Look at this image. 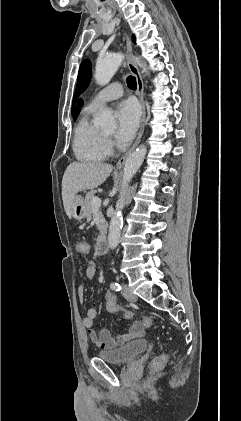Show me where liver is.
<instances>
[{
	"label": "liver",
	"mask_w": 241,
	"mask_h": 421,
	"mask_svg": "<svg viewBox=\"0 0 241 421\" xmlns=\"http://www.w3.org/2000/svg\"><path fill=\"white\" fill-rule=\"evenodd\" d=\"M112 165L96 162H72L62 179V200L65 212L71 218V206L81 191L97 188L112 172Z\"/></svg>",
	"instance_id": "obj_1"
}]
</instances>
